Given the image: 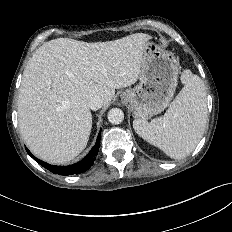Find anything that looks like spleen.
<instances>
[{"mask_svg": "<svg viewBox=\"0 0 232 232\" xmlns=\"http://www.w3.org/2000/svg\"><path fill=\"white\" fill-rule=\"evenodd\" d=\"M181 80L184 87L171 103L164 117L150 123L136 119V133L173 159L189 155L196 147L207 124V104L201 78L186 69Z\"/></svg>", "mask_w": 232, "mask_h": 232, "instance_id": "spleen-1", "label": "spleen"}]
</instances>
